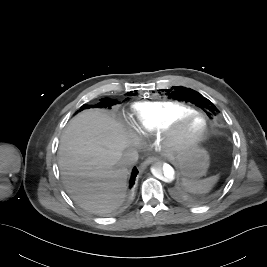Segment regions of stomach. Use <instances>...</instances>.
Instances as JSON below:
<instances>
[{
    "mask_svg": "<svg viewBox=\"0 0 267 267\" xmlns=\"http://www.w3.org/2000/svg\"><path fill=\"white\" fill-rule=\"evenodd\" d=\"M181 173L190 180L204 176L209 167V155L206 150L197 146L182 149L176 157Z\"/></svg>",
    "mask_w": 267,
    "mask_h": 267,
    "instance_id": "1",
    "label": "stomach"
}]
</instances>
